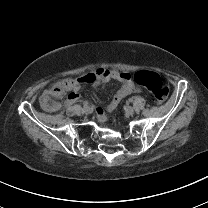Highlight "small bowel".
<instances>
[{
  "mask_svg": "<svg viewBox=\"0 0 208 208\" xmlns=\"http://www.w3.org/2000/svg\"><path fill=\"white\" fill-rule=\"evenodd\" d=\"M72 84V90H76L81 85L91 84V83H102L109 79H116L122 83V87L117 93L114 95L112 100L105 106V110L110 111L115 109L119 103L126 98L128 95L134 93L137 89L131 81L129 74L120 73L117 71H113L107 69L103 66H99L94 69L92 72L87 73L78 78H67ZM78 95L75 92H72L68 97L66 104L72 105L76 102ZM94 114L96 116H101L103 114V109L101 107H96L94 109Z\"/></svg>",
  "mask_w": 208,
  "mask_h": 208,
  "instance_id": "c3829d8e",
  "label": "small bowel"
}]
</instances>
